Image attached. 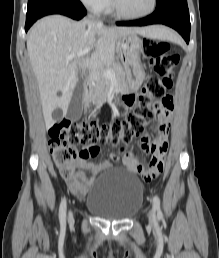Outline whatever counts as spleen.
I'll return each instance as SVG.
<instances>
[{"label":"spleen","mask_w":219,"mask_h":258,"mask_svg":"<svg viewBox=\"0 0 219 258\" xmlns=\"http://www.w3.org/2000/svg\"><path fill=\"white\" fill-rule=\"evenodd\" d=\"M166 30V32L164 33V37L165 38H168V39H173V37H172V35L170 34V33H172V32H170L169 30H167V29H165ZM173 34V33H172Z\"/></svg>","instance_id":"3e777b00"}]
</instances>
